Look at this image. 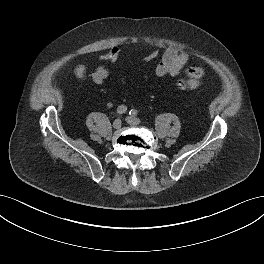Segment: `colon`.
<instances>
[{"label":"colon","instance_id":"colon-1","mask_svg":"<svg viewBox=\"0 0 264 264\" xmlns=\"http://www.w3.org/2000/svg\"><path fill=\"white\" fill-rule=\"evenodd\" d=\"M121 49H122L121 46L115 45L110 50L105 52L101 56V59L105 62L115 63L119 58ZM159 55H160L159 50L153 49V50L147 52V54L144 57V60L146 62H152V61L156 60L159 57ZM176 85H177V88L179 90H182V91H190V90H193L195 88L189 79H180L177 81Z\"/></svg>","mask_w":264,"mask_h":264}]
</instances>
